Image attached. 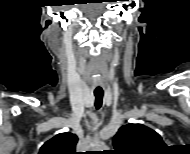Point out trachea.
I'll use <instances>...</instances> for the list:
<instances>
[{"instance_id":"1","label":"trachea","mask_w":190,"mask_h":154,"mask_svg":"<svg viewBox=\"0 0 190 154\" xmlns=\"http://www.w3.org/2000/svg\"><path fill=\"white\" fill-rule=\"evenodd\" d=\"M94 96H95V107L96 109H100L103 101V91L102 90L94 91Z\"/></svg>"}]
</instances>
